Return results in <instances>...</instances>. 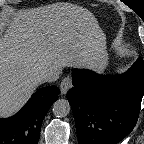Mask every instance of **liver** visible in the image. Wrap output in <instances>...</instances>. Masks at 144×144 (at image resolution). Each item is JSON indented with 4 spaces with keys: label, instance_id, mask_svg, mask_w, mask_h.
<instances>
[{
    "label": "liver",
    "instance_id": "6515ba94",
    "mask_svg": "<svg viewBox=\"0 0 144 144\" xmlns=\"http://www.w3.org/2000/svg\"><path fill=\"white\" fill-rule=\"evenodd\" d=\"M0 31V118L28 101L45 71L100 68L106 49L95 16L70 3L11 10Z\"/></svg>",
    "mask_w": 144,
    "mask_h": 144
}]
</instances>
